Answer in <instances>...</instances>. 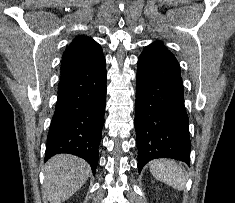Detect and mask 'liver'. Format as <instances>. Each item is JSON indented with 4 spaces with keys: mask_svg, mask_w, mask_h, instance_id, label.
Segmentation results:
<instances>
[{
    "mask_svg": "<svg viewBox=\"0 0 235 203\" xmlns=\"http://www.w3.org/2000/svg\"><path fill=\"white\" fill-rule=\"evenodd\" d=\"M90 174L88 163L70 154L52 157L44 168V190L50 203H62L77 192Z\"/></svg>",
    "mask_w": 235,
    "mask_h": 203,
    "instance_id": "6515ba94",
    "label": "liver"
}]
</instances>
